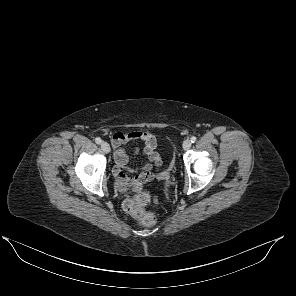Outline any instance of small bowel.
Listing matches in <instances>:
<instances>
[{
	"label": "small bowel",
	"instance_id": "c3829d8e",
	"mask_svg": "<svg viewBox=\"0 0 296 296\" xmlns=\"http://www.w3.org/2000/svg\"><path fill=\"white\" fill-rule=\"evenodd\" d=\"M139 140L144 143L143 154L148 160L139 171L134 169L129 164V156L123 144L130 141ZM111 144L114 149V159L116 166L113 174L116 179V186L124 192L129 189L138 191L143 187V184L153 178L151 172L152 167L159 168L161 165V157L157 151V138L146 131H131L128 133L116 132L111 136ZM138 151L136 150L135 153ZM134 171L132 176L126 175L123 171Z\"/></svg>",
	"mask_w": 296,
	"mask_h": 296
}]
</instances>
